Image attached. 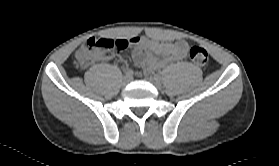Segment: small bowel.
I'll use <instances>...</instances> for the list:
<instances>
[{"label":"small bowel","instance_id":"1","mask_svg":"<svg viewBox=\"0 0 279 166\" xmlns=\"http://www.w3.org/2000/svg\"><path fill=\"white\" fill-rule=\"evenodd\" d=\"M130 43L135 46L134 59L142 65L146 73L169 62L183 59L188 50V43L184 40L159 42L145 37H133Z\"/></svg>","mask_w":279,"mask_h":166}]
</instances>
